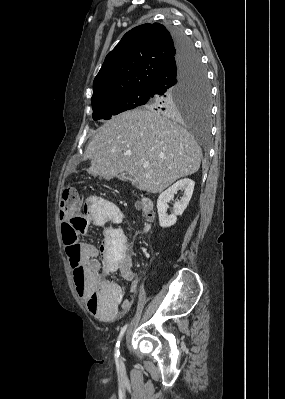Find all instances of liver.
Masks as SVG:
<instances>
[{
	"mask_svg": "<svg viewBox=\"0 0 285 399\" xmlns=\"http://www.w3.org/2000/svg\"><path fill=\"white\" fill-rule=\"evenodd\" d=\"M84 158L91 160L87 171L95 177L109 180L126 173L137 189L160 193L198 171L202 150L177 123L155 111L135 109L105 122Z\"/></svg>",
	"mask_w": 285,
	"mask_h": 399,
	"instance_id": "obj_1",
	"label": "liver"
}]
</instances>
